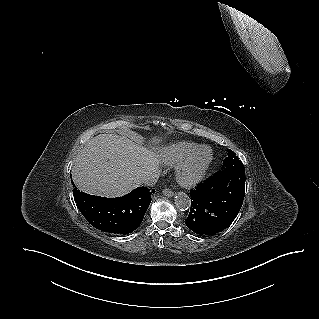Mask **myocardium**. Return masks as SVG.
Instances as JSON below:
<instances>
[{
	"label": "myocardium",
	"mask_w": 319,
	"mask_h": 319,
	"mask_svg": "<svg viewBox=\"0 0 319 319\" xmlns=\"http://www.w3.org/2000/svg\"><path fill=\"white\" fill-rule=\"evenodd\" d=\"M204 150L209 151V156L202 163H198L200 154ZM213 159V151L208 146H200L189 158L180 164L177 171L178 182L186 188L196 187L205 179Z\"/></svg>",
	"instance_id": "1"
}]
</instances>
